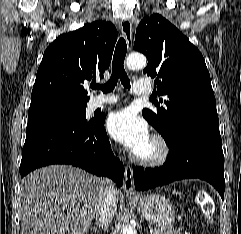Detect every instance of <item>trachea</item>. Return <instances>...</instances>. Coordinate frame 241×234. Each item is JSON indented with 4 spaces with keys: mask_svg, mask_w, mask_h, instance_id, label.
Segmentation results:
<instances>
[{
    "mask_svg": "<svg viewBox=\"0 0 241 234\" xmlns=\"http://www.w3.org/2000/svg\"><path fill=\"white\" fill-rule=\"evenodd\" d=\"M127 52V44L125 39L122 37L119 39L112 62V75L110 80L103 86V85H93L94 89L98 88L101 89L104 93L111 92L114 87L117 85L118 80L120 79L123 86L127 89H130V80L124 69V59Z\"/></svg>",
    "mask_w": 241,
    "mask_h": 234,
    "instance_id": "3493384b",
    "label": "trachea"
}]
</instances>
